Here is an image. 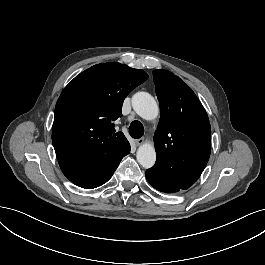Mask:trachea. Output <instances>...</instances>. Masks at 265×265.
Returning a JSON list of instances; mask_svg holds the SVG:
<instances>
[{
  "instance_id": "1",
  "label": "trachea",
  "mask_w": 265,
  "mask_h": 265,
  "mask_svg": "<svg viewBox=\"0 0 265 265\" xmlns=\"http://www.w3.org/2000/svg\"><path fill=\"white\" fill-rule=\"evenodd\" d=\"M129 134L132 138L140 139L144 135V127L139 121H133L129 126Z\"/></svg>"
}]
</instances>
